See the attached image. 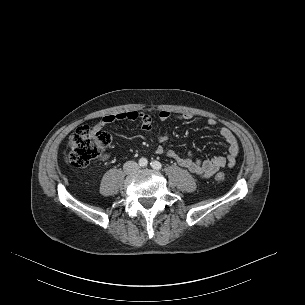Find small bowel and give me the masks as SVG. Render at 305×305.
<instances>
[{"instance_id":"c3829d8e","label":"small bowel","mask_w":305,"mask_h":305,"mask_svg":"<svg viewBox=\"0 0 305 305\" xmlns=\"http://www.w3.org/2000/svg\"><path fill=\"white\" fill-rule=\"evenodd\" d=\"M171 118L183 121L192 119L193 115L191 113L173 114L168 110H162L158 114V120L160 122H165ZM123 120L139 121L142 129L146 132H151L153 129L154 120L152 116L148 113L140 111H123L106 115L95 124L94 128L96 130H101L116 121ZM205 123L209 128H214L217 126V120L211 117L207 118ZM219 133L227 145L226 156H216L201 161L195 159L190 153L181 156L176 151L167 149L161 145L156 147L155 152L158 155H165L175 160L181 167L187 169L192 174L200 178H209L225 166H234L236 163V158L239 154V144L233 132L227 127H221ZM156 139L159 143H164L168 140V134L165 131L158 132L156 134ZM103 158L106 159L107 155H105Z\"/></svg>"}]
</instances>
